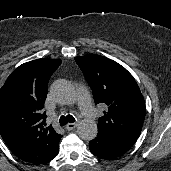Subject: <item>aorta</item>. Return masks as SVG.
<instances>
[{"label":"aorta","instance_id":"762f6f07","mask_svg":"<svg viewBox=\"0 0 171 171\" xmlns=\"http://www.w3.org/2000/svg\"><path fill=\"white\" fill-rule=\"evenodd\" d=\"M51 91L56 101L60 103L71 104L75 100L74 89L66 81L55 82ZM77 133L81 139L91 141L97 136V124L93 120H82L77 127Z\"/></svg>","mask_w":171,"mask_h":171}]
</instances>
